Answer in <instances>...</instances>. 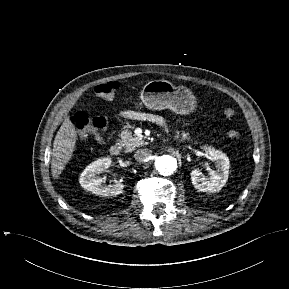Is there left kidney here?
<instances>
[{
    "mask_svg": "<svg viewBox=\"0 0 289 289\" xmlns=\"http://www.w3.org/2000/svg\"><path fill=\"white\" fill-rule=\"evenodd\" d=\"M210 159L216 162L217 171L212 170L206 178L198 169L191 171V181L195 189L201 192L216 193L226 184L229 175V158L211 147H204Z\"/></svg>",
    "mask_w": 289,
    "mask_h": 289,
    "instance_id": "left-kidney-1",
    "label": "left kidney"
}]
</instances>
